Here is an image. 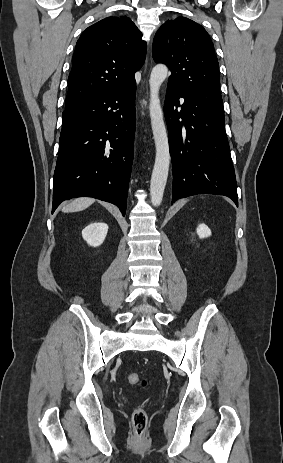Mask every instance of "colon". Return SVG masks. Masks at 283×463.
<instances>
[{"label":"colon","instance_id":"obj_1","mask_svg":"<svg viewBox=\"0 0 283 463\" xmlns=\"http://www.w3.org/2000/svg\"><path fill=\"white\" fill-rule=\"evenodd\" d=\"M127 380L130 384L139 385L141 387L147 386V380L141 378L137 373L131 372L127 374ZM132 422L134 433L136 437H142L145 432L147 424V414L142 407H136L132 413Z\"/></svg>","mask_w":283,"mask_h":463}]
</instances>
